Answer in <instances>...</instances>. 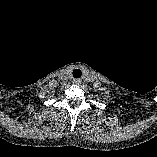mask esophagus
I'll return each mask as SVG.
<instances>
[{"instance_id": "1", "label": "esophagus", "mask_w": 157, "mask_h": 157, "mask_svg": "<svg viewBox=\"0 0 157 157\" xmlns=\"http://www.w3.org/2000/svg\"><path fill=\"white\" fill-rule=\"evenodd\" d=\"M73 82H74L75 84H81V79L75 78V79L73 80Z\"/></svg>"}]
</instances>
